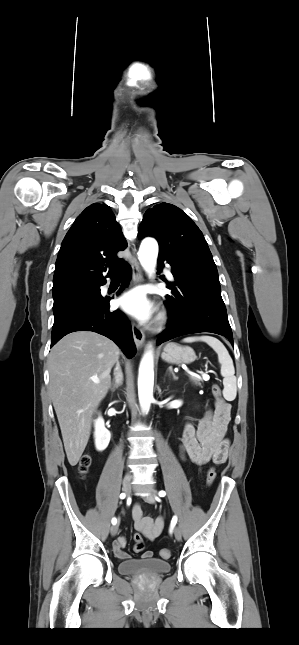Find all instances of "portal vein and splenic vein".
Here are the masks:
<instances>
[{
	"instance_id": "18ae733b",
	"label": "portal vein and splenic vein",
	"mask_w": 299,
	"mask_h": 645,
	"mask_svg": "<svg viewBox=\"0 0 299 645\" xmlns=\"http://www.w3.org/2000/svg\"><path fill=\"white\" fill-rule=\"evenodd\" d=\"M189 373H190V374H192V375H195V374H193L192 372H189ZM203 377H204V379H205V380H208V379H209V376H208V375H205V374H204V375H203ZM93 382H94V383H96V384H98V383H99V380H95V379H94V380H93Z\"/></svg>"
}]
</instances>
